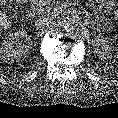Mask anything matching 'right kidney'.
<instances>
[{"mask_svg":"<svg viewBox=\"0 0 118 118\" xmlns=\"http://www.w3.org/2000/svg\"><path fill=\"white\" fill-rule=\"evenodd\" d=\"M20 39H23L24 42L20 43ZM32 45L31 38L26 32H12L4 39L0 48V54L5 60L17 62L27 57Z\"/></svg>","mask_w":118,"mask_h":118,"instance_id":"right-kidney-1","label":"right kidney"}]
</instances>
